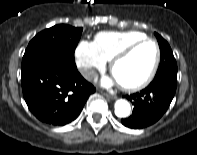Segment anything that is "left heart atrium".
I'll use <instances>...</instances> for the list:
<instances>
[{
	"mask_svg": "<svg viewBox=\"0 0 197 155\" xmlns=\"http://www.w3.org/2000/svg\"><path fill=\"white\" fill-rule=\"evenodd\" d=\"M113 81H117L115 78L114 79H109V78H107V79H105V81H104V83L105 84H110V83H112Z\"/></svg>",
	"mask_w": 197,
	"mask_h": 155,
	"instance_id": "1",
	"label": "left heart atrium"
}]
</instances>
